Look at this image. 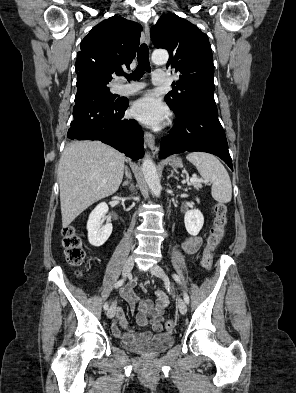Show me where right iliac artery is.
Masks as SVG:
<instances>
[{
    "mask_svg": "<svg viewBox=\"0 0 296 393\" xmlns=\"http://www.w3.org/2000/svg\"><path fill=\"white\" fill-rule=\"evenodd\" d=\"M123 283H124V279L119 280V281H117V282L115 283L114 287H115V288H119L120 286L123 285ZM108 308H109L108 303H105V304H104V309H105V310H108Z\"/></svg>",
    "mask_w": 296,
    "mask_h": 393,
    "instance_id": "82829eb1",
    "label": "right iliac artery"
}]
</instances>
